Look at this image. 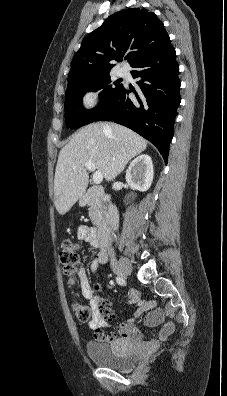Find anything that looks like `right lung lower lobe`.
Listing matches in <instances>:
<instances>
[{
	"mask_svg": "<svg viewBox=\"0 0 227 396\" xmlns=\"http://www.w3.org/2000/svg\"><path fill=\"white\" fill-rule=\"evenodd\" d=\"M139 93L137 100L127 98L123 86L93 121L113 120L137 132L153 143L168 160L174 134L177 107L180 104L179 66L170 41L147 52L131 65Z\"/></svg>",
	"mask_w": 227,
	"mask_h": 396,
	"instance_id": "right-lung-lower-lobe-1",
	"label": "right lung lower lobe"
}]
</instances>
